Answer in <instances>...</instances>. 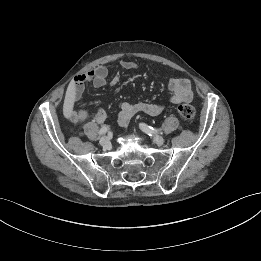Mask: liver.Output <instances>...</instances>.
Listing matches in <instances>:
<instances>
[{
  "label": "liver",
  "mask_w": 261,
  "mask_h": 261,
  "mask_svg": "<svg viewBox=\"0 0 261 261\" xmlns=\"http://www.w3.org/2000/svg\"><path fill=\"white\" fill-rule=\"evenodd\" d=\"M76 99V85L70 82L65 94L63 112L66 117H70L73 113L74 102Z\"/></svg>",
  "instance_id": "1"
}]
</instances>
